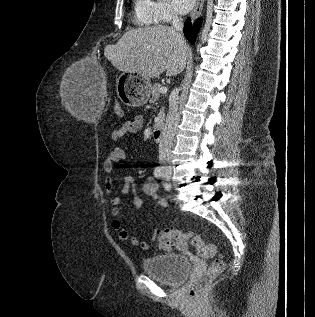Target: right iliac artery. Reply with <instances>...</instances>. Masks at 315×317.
Returning a JSON list of instances; mask_svg holds the SVG:
<instances>
[{
  "label": "right iliac artery",
  "instance_id": "obj_1",
  "mask_svg": "<svg viewBox=\"0 0 315 317\" xmlns=\"http://www.w3.org/2000/svg\"><path fill=\"white\" fill-rule=\"evenodd\" d=\"M154 176L156 178H161L162 176V172H161V168L160 167H156L155 170H154Z\"/></svg>",
  "mask_w": 315,
  "mask_h": 317
}]
</instances>
